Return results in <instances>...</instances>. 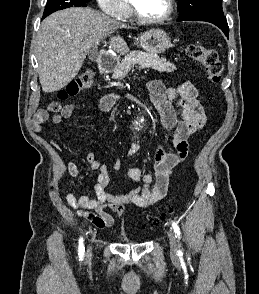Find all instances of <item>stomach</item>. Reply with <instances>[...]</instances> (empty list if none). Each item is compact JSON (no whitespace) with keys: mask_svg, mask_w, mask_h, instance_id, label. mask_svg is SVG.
I'll return each instance as SVG.
<instances>
[{"mask_svg":"<svg viewBox=\"0 0 259 294\" xmlns=\"http://www.w3.org/2000/svg\"><path fill=\"white\" fill-rule=\"evenodd\" d=\"M140 47L149 54H161L171 47V39L161 29H150L139 37Z\"/></svg>","mask_w":259,"mask_h":294,"instance_id":"stomach-1","label":"stomach"}]
</instances>
